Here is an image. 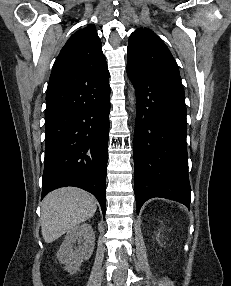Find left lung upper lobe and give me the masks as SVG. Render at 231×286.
<instances>
[{"instance_id":"5c2ea615","label":"left lung upper lobe","mask_w":231,"mask_h":286,"mask_svg":"<svg viewBox=\"0 0 231 286\" xmlns=\"http://www.w3.org/2000/svg\"><path fill=\"white\" fill-rule=\"evenodd\" d=\"M127 66L148 76L181 84L179 69L172 54L150 29L140 28L130 35Z\"/></svg>"}]
</instances>
